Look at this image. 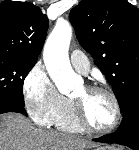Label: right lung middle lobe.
Segmentation results:
<instances>
[{
  "mask_svg": "<svg viewBox=\"0 0 139 150\" xmlns=\"http://www.w3.org/2000/svg\"><path fill=\"white\" fill-rule=\"evenodd\" d=\"M37 61L0 53V99L24 104V79Z\"/></svg>",
  "mask_w": 139,
  "mask_h": 150,
  "instance_id": "1",
  "label": "right lung middle lobe"
}]
</instances>
